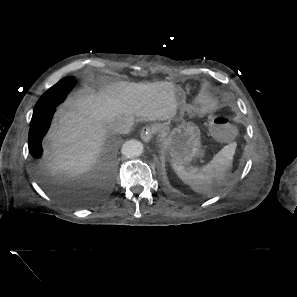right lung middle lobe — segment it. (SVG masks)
<instances>
[{
    "instance_id": "dd1d6c3e",
    "label": "right lung middle lobe",
    "mask_w": 297,
    "mask_h": 297,
    "mask_svg": "<svg viewBox=\"0 0 297 297\" xmlns=\"http://www.w3.org/2000/svg\"><path fill=\"white\" fill-rule=\"evenodd\" d=\"M75 84L76 81L73 77H66L48 89L36 104L32 118L42 116L56 104L64 100Z\"/></svg>"
}]
</instances>
